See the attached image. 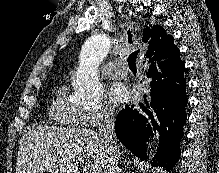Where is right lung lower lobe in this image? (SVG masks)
I'll use <instances>...</instances> for the list:
<instances>
[{
	"mask_svg": "<svg viewBox=\"0 0 219 173\" xmlns=\"http://www.w3.org/2000/svg\"><path fill=\"white\" fill-rule=\"evenodd\" d=\"M150 78L143 98L126 105L117 115L115 131L123 145L140 159H147L145 141L156 136L153 165L171 170L177 163L187 115L186 80L180 52L149 59Z\"/></svg>",
	"mask_w": 219,
	"mask_h": 173,
	"instance_id": "98d812e1",
	"label": "right lung lower lobe"
}]
</instances>
